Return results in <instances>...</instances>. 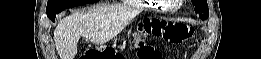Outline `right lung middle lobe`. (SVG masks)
Returning a JSON list of instances; mask_svg holds the SVG:
<instances>
[{
  "label": "right lung middle lobe",
  "mask_w": 261,
  "mask_h": 59,
  "mask_svg": "<svg viewBox=\"0 0 261 59\" xmlns=\"http://www.w3.org/2000/svg\"><path fill=\"white\" fill-rule=\"evenodd\" d=\"M97 1L98 0H48L46 9L47 16L53 17L64 9L85 5L88 3H95Z\"/></svg>",
  "instance_id": "1"
}]
</instances>
